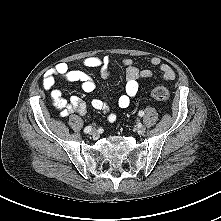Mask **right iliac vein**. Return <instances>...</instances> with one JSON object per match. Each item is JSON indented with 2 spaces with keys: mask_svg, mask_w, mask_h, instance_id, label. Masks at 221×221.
Listing matches in <instances>:
<instances>
[{
  "mask_svg": "<svg viewBox=\"0 0 221 221\" xmlns=\"http://www.w3.org/2000/svg\"><path fill=\"white\" fill-rule=\"evenodd\" d=\"M90 134L93 136V137H96L97 136V131L95 129H92L90 131Z\"/></svg>",
  "mask_w": 221,
  "mask_h": 221,
  "instance_id": "63e3f726",
  "label": "right iliac vein"
}]
</instances>
